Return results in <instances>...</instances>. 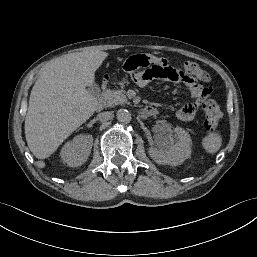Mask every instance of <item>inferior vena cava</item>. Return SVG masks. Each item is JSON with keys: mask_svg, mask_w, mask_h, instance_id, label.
I'll return each mask as SVG.
<instances>
[{"mask_svg": "<svg viewBox=\"0 0 257 257\" xmlns=\"http://www.w3.org/2000/svg\"><path fill=\"white\" fill-rule=\"evenodd\" d=\"M111 116V112H102L97 115L98 120H106Z\"/></svg>", "mask_w": 257, "mask_h": 257, "instance_id": "inferior-vena-cava-1", "label": "inferior vena cava"}]
</instances>
